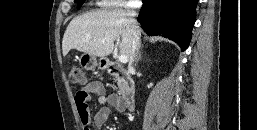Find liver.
<instances>
[{"instance_id": "6515ba94", "label": "liver", "mask_w": 257, "mask_h": 130, "mask_svg": "<svg viewBox=\"0 0 257 130\" xmlns=\"http://www.w3.org/2000/svg\"><path fill=\"white\" fill-rule=\"evenodd\" d=\"M130 20L126 12L119 10H97L73 18L63 36V56L76 49L103 58L112 53L114 41L121 37L120 54L130 58Z\"/></svg>"}]
</instances>
